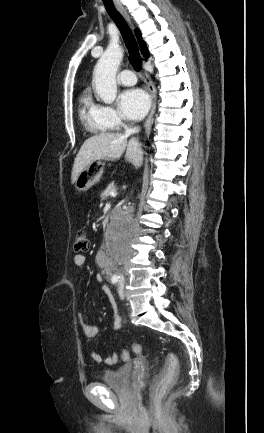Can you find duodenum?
<instances>
[{
  "instance_id": "obj_1",
  "label": "duodenum",
  "mask_w": 264,
  "mask_h": 433,
  "mask_svg": "<svg viewBox=\"0 0 264 433\" xmlns=\"http://www.w3.org/2000/svg\"><path fill=\"white\" fill-rule=\"evenodd\" d=\"M108 223H109V219H108L107 217H104V219H103V225H104L105 230H106V228H107V226H108ZM110 255H111L112 257H114V254H113L112 252H110ZM104 257H105V256H101V258H104ZM112 271H113L112 266H109V267L106 269V273H107V275L110 276V275L112 274Z\"/></svg>"
}]
</instances>
